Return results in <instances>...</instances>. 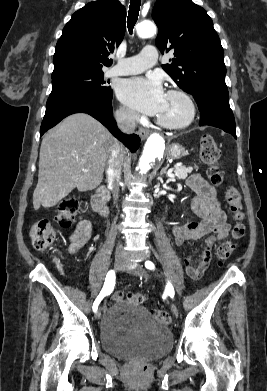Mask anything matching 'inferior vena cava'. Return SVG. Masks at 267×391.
I'll use <instances>...</instances> for the list:
<instances>
[{"label":"inferior vena cava","mask_w":267,"mask_h":391,"mask_svg":"<svg viewBox=\"0 0 267 391\" xmlns=\"http://www.w3.org/2000/svg\"><path fill=\"white\" fill-rule=\"evenodd\" d=\"M138 119V114L133 111H123L117 113L116 120L119 129L127 134H130L134 131L136 126V120ZM123 150L118 142H116L112 148L111 153L107 162V178L109 184L112 185V193L114 198L118 197L119 193V182L121 179V170L123 165ZM118 250L122 249V245H118Z\"/></svg>","instance_id":"inferior-vena-cava-1"}]
</instances>
